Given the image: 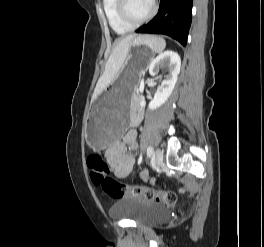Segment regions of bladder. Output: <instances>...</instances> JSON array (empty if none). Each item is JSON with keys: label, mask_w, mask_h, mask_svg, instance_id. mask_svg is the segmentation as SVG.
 Listing matches in <instances>:
<instances>
[{"label": "bladder", "mask_w": 264, "mask_h": 247, "mask_svg": "<svg viewBox=\"0 0 264 247\" xmlns=\"http://www.w3.org/2000/svg\"><path fill=\"white\" fill-rule=\"evenodd\" d=\"M114 219L132 220L139 224H153L166 219L168 213L158 203L130 198H120L110 208Z\"/></svg>", "instance_id": "1"}]
</instances>
